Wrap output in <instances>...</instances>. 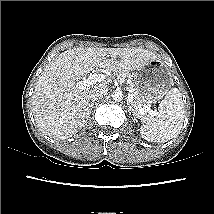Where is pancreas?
Returning a JSON list of instances; mask_svg holds the SVG:
<instances>
[{"label":"pancreas","instance_id":"1","mask_svg":"<svg viewBox=\"0 0 214 214\" xmlns=\"http://www.w3.org/2000/svg\"><path fill=\"white\" fill-rule=\"evenodd\" d=\"M117 75L122 78L128 77L127 73H122V72H117ZM129 88L131 90V93L133 94V97H135V94L137 92L136 86L132 83ZM130 106L134 114H139L140 109L145 107V105H142L141 103L136 102L134 99L131 102Z\"/></svg>","mask_w":214,"mask_h":214}]
</instances>
